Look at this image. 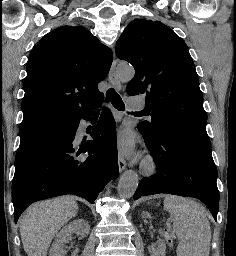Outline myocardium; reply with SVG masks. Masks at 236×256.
I'll use <instances>...</instances> for the list:
<instances>
[{"label": "myocardium", "mask_w": 236, "mask_h": 256, "mask_svg": "<svg viewBox=\"0 0 236 256\" xmlns=\"http://www.w3.org/2000/svg\"><path fill=\"white\" fill-rule=\"evenodd\" d=\"M142 168L146 175H153L158 169V162L153 155H148L142 162Z\"/></svg>", "instance_id": "1"}]
</instances>
